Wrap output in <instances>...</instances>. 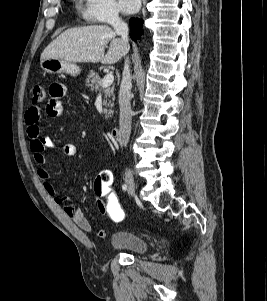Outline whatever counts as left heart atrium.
I'll return each mask as SVG.
<instances>
[{
	"mask_svg": "<svg viewBox=\"0 0 267 301\" xmlns=\"http://www.w3.org/2000/svg\"><path fill=\"white\" fill-rule=\"evenodd\" d=\"M140 0H119V7L123 13L130 14L138 10Z\"/></svg>",
	"mask_w": 267,
	"mask_h": 301,
	"instance_id": "39dd6f15",
	"label": "left heart atrium"
}]
</instances>
